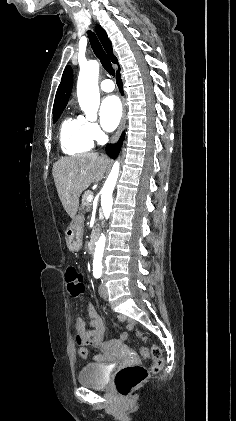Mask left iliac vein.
I'll list each match as a JSON object with an SVG mask.
<instances>
[{
    "label": "left iliac vein",
    "instance_id": "4c4485c4",
    "mask_svg": "<svg viewBox=\"0 0 236 421\" xmlns=\"http://www.w3.org/2000/svg\"><path fill=\"white\" fill-rule=\"evenodd\" d=\"M99 292H100L101 297L108 298V292H107V289L105 287L104 281L101 283V285L99 287Z\"/></svg>",
    "mask_w": 236,
    "mask_h": 421
}]
</instances>
